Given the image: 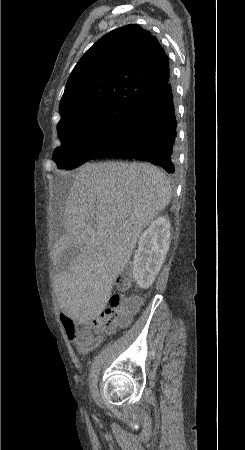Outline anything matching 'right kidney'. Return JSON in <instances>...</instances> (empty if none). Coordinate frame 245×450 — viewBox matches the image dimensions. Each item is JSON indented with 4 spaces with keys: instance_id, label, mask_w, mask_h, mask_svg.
Here are the masks:
<instances>
[{
    "instance_id": "obj_1",
    "label": "right kidney",
    "mask_w": 245,
    "mask_h": 450,
    "mask_svg": "<svg viewBox=\"0 0 245 450\" xmlns=\"http://www.w3.org/2000/svg\"><path fill=\"white\" fill-rule=\"evenodd\" d=\"M170 244V222L156 218L141 235L133 260V278L141 288L150 287L166 258Z\"/></svg>"
}]
</instances>
